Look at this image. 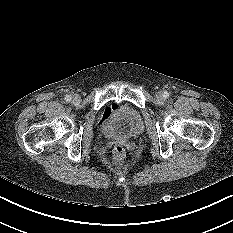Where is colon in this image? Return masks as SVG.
Returning <instances> with one entry per match:
<instances>
[{
    "instance_id": "1",
    "label": "colon",
    "mask_w": 233,
    "mask_h": 233,
    "mask_svg": "<svg viewBox=\"0 0 233 233\" xmlns=\"http://www.w3.org/2000/svg\"><path fill=\"white\" fill-rule=\"evenodd\" d=\"M125 157H126V152L124 147L122 145L114 146L112 150L113 162L116 164H120L124 161Z\"/></svg>"
}]
</instances>
